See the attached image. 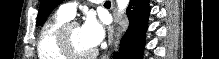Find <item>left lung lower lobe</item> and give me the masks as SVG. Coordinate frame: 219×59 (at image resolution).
Here are the masks:
<instances>
[{
    "mask_svg": "<svg viewBox=\"0 0 219 59\" xmlns=\"http://www.w3.org/2000/svg\"><path fill=\"white\" fill-rule=\"evenodd\" d=\"M128 29L121 40L120 56L113 59H142L150 14L149 0H130Z\"/></svg>",
    "mask_w": 219,
    "mask_h": 59,
    "instance_id": "1",
    "label": "left lung lower lobe"
}]
</instances>
